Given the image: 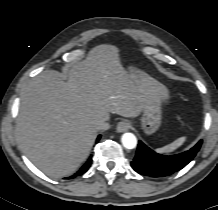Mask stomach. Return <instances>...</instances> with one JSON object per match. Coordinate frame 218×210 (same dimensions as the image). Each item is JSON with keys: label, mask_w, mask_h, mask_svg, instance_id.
Masks as SVG:
<instances>
[{"label": "stomach", "mask_w": 218, "mask_h": 210, "mask_svg": "<svg viewBox=\"0 0 218 210\" xmlns=\"http://www.w3.org/2000/svg\"><path fill=\"white\" fill-rule=\"evenodd\" d=\"M130 76L136 81H143V72L134 71ZM162 102L160 96L148 93L141 118L142 127L147 135L153 134L160 126L162 120Z\"/></svg>", "instance_id": "stomach-1"}]
</instances>
